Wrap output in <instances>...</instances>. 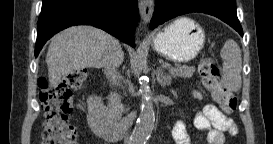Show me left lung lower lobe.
Instances as JSON below:
<instances>
[{
    "instance_id": "1",
    "label": "left lung lower lobe",
    "mask_w": 273,
    "mask_h": 144,
    "mask_svg": "<svg viewBox=\"0 0 273 144\" xmlns=\"http://www.w3.org/2000/svg\"><path fill=\"white\" fill-rule=\"evenodd\" d=\"M192 12L215 16L243 36V30L236 14L235 0H156L150 28L154 29L176 16Z\"/></svg>"
}]
</instances>
